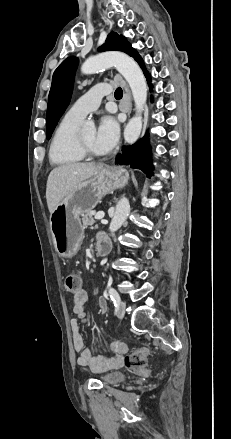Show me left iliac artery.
Listing matches in <instances>:
<instances>
[{
	"instance_id": "44dca946",
	"label": "left iliac artery",
	"mask_w": 231,
	"mask_h": 439,
	"mask_svg": "<svg viewBox=\"0 0 231 439\" xmlns=\"http://www.w3.org/2000/svg\"><path fill=\"white\" fill-rule=\"evenodd\" d=\"M108 292L112 301L114 302V305L117 307L118 303L120 302V296L118 292L112 287L109 288Z\"/></svg>"
}]
</instances>
